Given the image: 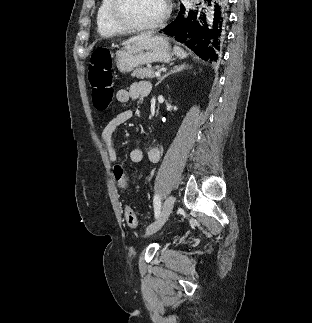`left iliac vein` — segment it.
Wrapping results in <instances>:
<instances>
[{
    "label": "left iliac vein",
    "mask_w": 312,
    "mask_h": 323,
    "mask_svg": "<svg viewBox=\"0 0 312 323\" xmlns=\"http://www.w3.org/2000/svg\"><path fill=\"white\" fill-rule=\"evenodd\" d=\"M173 207H174V197L171 195L166 199L162 208V212L158 217V219L149 226L146 232V235H151L153 233H156L164 225Z\"/></svg>",
    "instance_id": "left-iliac-vein-1"
}]
</instances>
